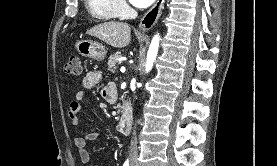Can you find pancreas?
Masks as SVG:
<instances>
[{"label":"pancreas","instance_id":"pancreas-1","mask_svg":"<svg viewBox=\"0 0 277 166\" xmlns=\"http://www.w3.org/2000/svg\"><path fill=\"white\" fill-rule=\"evenodd\" d=\"M121 57V53L117 52L113 55H111L108 59V70L111 72H115L117 69V64H120L121 62L118 61V59Z\"/></svg>","mask_w":277,"mask_h":166}]
</instances>
